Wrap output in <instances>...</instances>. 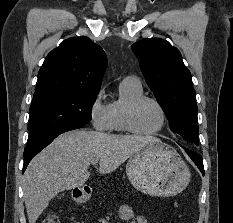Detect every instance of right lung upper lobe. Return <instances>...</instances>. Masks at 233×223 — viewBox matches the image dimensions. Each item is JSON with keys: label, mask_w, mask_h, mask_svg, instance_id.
Wrapping results in <instances>:
<instances>
[{"label": "right lung upper lobe", "mask_w": 233, "mask_h": 223, "mask_svg": "<svg viewBox=\"0 0 233 223\" xmlns=\"http://www.w3.org/2000/svg\"><path fill=\"white\" fill-rule=\"evenodd\" d=\"M106 65L105 52L88 37L64 40L43 62L34 95L55 91L99 92Z\"/></svg>", "instance_id": "obj_1"}]
</instances>
